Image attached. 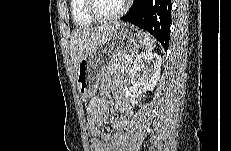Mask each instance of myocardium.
<instances>
[{"label":"myocardium","instance_id":"myocardium-1","mask_svg":"<svg viewBox=\"0 0 231 151\" xmlns=\"http://www.w3.org/2000/svg\"><path fill=\"white\" fill-rule=\"evenodd\" d=\"M96 0H86V11L88 15L97 22H110L121 18L128 10L130 1H124L118 12L111 15H100L96 10Z\"/></svg>","mask_w":231,"mask_h":151}]
</instances>
